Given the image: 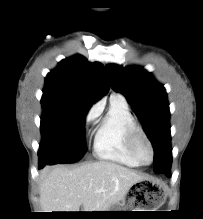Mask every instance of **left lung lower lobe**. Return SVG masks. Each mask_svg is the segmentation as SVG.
Returning a JSON list of instances; mask_svg holds the SVG:
<instances>
[{
  "label": "left lung lower lobe",
  "mask_w": 203,
  "mask_h": 219,
  "mask_svg": "<svg viewBox=\"0 0 203 219\" xmlns=\"http://www.w3.org/2000/svg\"><path fill=\"white\" fill-rule=\"evenodd\" d=\"M170 167H164L161 169V172H157V173H164L165 175H167L168 177H170Z\"/></svg>",
  "instance_id": "1"
}]
</instances>
